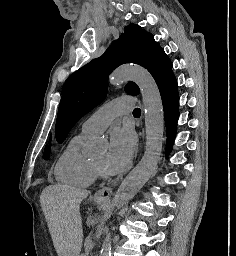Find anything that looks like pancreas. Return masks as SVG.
Returning <instances> with one entry per match:
<instances>
[{"label":"pancreas","instance_id":"pancreas-1","mask_svg":"<svg viewBox=\"0 0 236 256\" xmlns=\"http://www.w3.org/2000/svg\"><path fill=\"white\" fill-rule=\"evenodd\" d=\"M87 223L88 224H95L96 223V220L95 219H88L87 220ZM84 250H92L93 247H94V242H91V239L90 238H85L84 240Z\"/></svg>","mask_w":236,"mask_h":256}]
</instances>
